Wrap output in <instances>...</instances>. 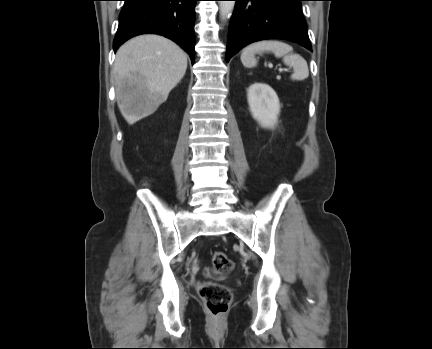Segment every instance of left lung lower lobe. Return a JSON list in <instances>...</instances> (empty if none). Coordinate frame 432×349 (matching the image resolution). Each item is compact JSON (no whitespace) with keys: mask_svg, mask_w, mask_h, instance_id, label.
Here are the masks:
<instances>
[{"mask_svg":"<svg viewBox=\"0 0 432 349\" xmlns=\"http://www.w3.org/2000/svg\"><path fill=\"white\" fill-rule=\"evenodd\" d=\"M226 61L247 44L264 39H285L312 50L302 15L303 0H234Z\"/></svg>","mask_w":432,"mask_h":349,"instance_id":"left-lung-lower-lobe-1","label":"left lung lower lobe"}]
</instances>
